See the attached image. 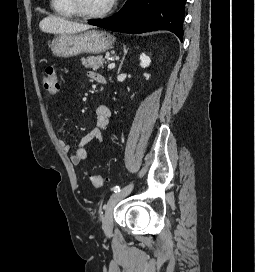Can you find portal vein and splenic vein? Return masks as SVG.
Returning <instances> with one entry per match:
<instances>
[{
	"instance_id": "1",
	"label": "portal vein and splenic vein",
	"mask_w": 255,
	"mask_h": 272,
	"mask_svg": "<svg viewBox=\"0 0 255 272\" xmlns=\"http://www.w3.org/2000/svg\"><path fill=\"white\" fill-rule=\"evenodd\" d=\"M115 67V63H110L109 65H108V68L109 69H113Z\"/></svg>"
}]
</instances>
